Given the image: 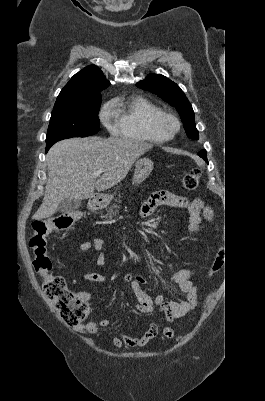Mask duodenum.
<instances>
[{
  "mask_svg": "<svg viewBox=\"0 0 265 401\" xmlns=\"http://www.w3.org/2000/svg\"><path fill=\"white\" fill-rule=\"evenodd\" d=\"M101 207H102V202H101L100 198L93 197L90 201L89 208L92 211H96V210L100 209Z\"/></svg>",
  "mask_w": 265,
  "mask_h": 401,
  "instance_id": "410a0bca",
  "label": "duodenum"
}]
</instances>
